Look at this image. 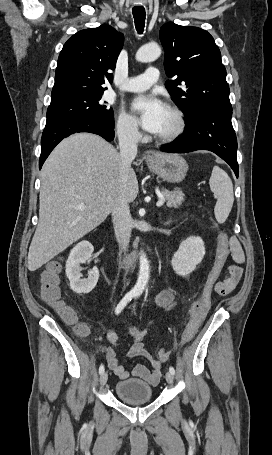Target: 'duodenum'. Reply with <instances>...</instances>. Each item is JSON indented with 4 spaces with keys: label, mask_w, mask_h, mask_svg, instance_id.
Masks as SVG:
<instances>
[{
    "label": "duodenum",
    "mask_w": 272,
    "mask_h": 455,
    "mask_svg": "<svg viewBox=\"0 0 272 455\" xmlns=\"http://www.w3.org/2000/svg\"><path fill=\"white\" fill-rule=\"evenodd\" d=\"M138 257H139L138 254L133 255L132 257H130L129 259H127L123 262V266H125L127 268L135 266V264L138 260Z\"/></svg>",
    "instance_id": "obj_1"
}]
</instances>
